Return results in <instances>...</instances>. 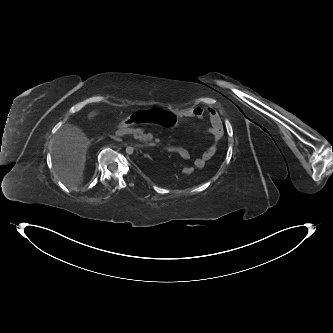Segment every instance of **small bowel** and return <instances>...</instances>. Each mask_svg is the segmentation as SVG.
I'll list each match as a JSON object with an SVG mask.
<instances>
[{"mask_svg": "<svg viewBox=\"0 0 333 333\" xmlns=\"http://www.w3.org/2000/svg\"><path fill=\"white\" fill-rule=\"evenodd\" d=\"M176 117V123L178 120L186 118H206L209 120L211 127L207 131V134L214 140V143L194 160L196 168H203L205 163L217 152L218 143L222 139L221 120L217 112L212 108L195 107L177 113ZM170 150L184 160H188L190 158L189 151L183 147H172Z\"/></svg>", "mask_w": 333, "mask_h": 333, "instance_id": "obj_1", "label": "small bowel"}]
</instances>
